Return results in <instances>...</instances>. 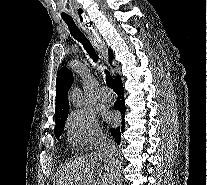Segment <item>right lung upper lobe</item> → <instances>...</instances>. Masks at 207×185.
I'll return each mask as SVG.
<instances>
[{"instance_id":"obj_1","label":"right lung upper lobe","mask_w":207,"mask_h":185,"mask_svg":"<svg viewBox=\"0 0 207 185\" xmlns=\"http://www.w3.org/2000/svg\"><path fill=\"white\" fill-rule=\"evenodd\" d=\"M109 52V62H112V52ZM120 77L117 76L116 80ZM73 83V75L72 72L63 67L58 71L57 74V82H56V110H55V121H56V128L62 127L65 125V121L68 116L69 112V103L67 93L69 88Z\"/></svg>"}]
</instances>
